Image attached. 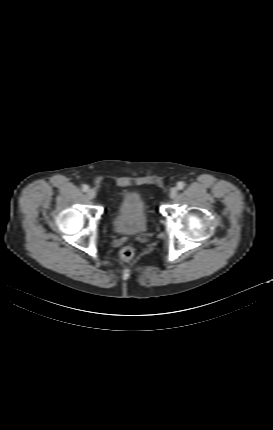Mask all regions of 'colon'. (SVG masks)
<instances>
[{"label":"colon","instance_id":"1","mask_svg":"<svg viewBox=\"0 0 273 430\" xmlns=\"http://www.w3.org/2000/svg\"><path fill=\"white\" fill-rule=\"evenodd\" d=\"M134 254L135 249L131 245H125L119 251L120 258L124 261H130L134 257Z\"/></svg>","mask_w":273,"mask_h":430}]
</instances>
